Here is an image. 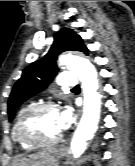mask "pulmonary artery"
<instances>
[{"label":"pulmonary artery","mask_w":135,"mask_h":166,"mask_svg":"<svg viewBox=\"0 0 135 166\" xmlns=\"http://www.w3.org/2000/svg\"><path fill=\"white\" fill-rule=\"evenodd\" d=\"M58 83L63 87L73 88L77 84V79L73 72L62 71L58 76Z\"/></svg>","instance_id":"e3ab8cb5"}]
</instances>
